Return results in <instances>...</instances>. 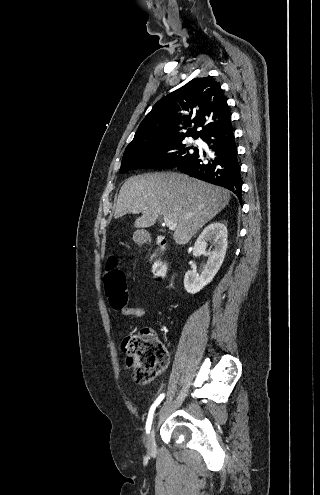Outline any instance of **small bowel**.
<instances>
[{
	"instance_id": "small-bowel-1",
	"label": "small bowel",
	"mask_w": 320,
	"mask_h": 495,
	"mask_svg": "<svg viewBox=\"0 0 320 495\" xmlns=\"http://www.w3.org/2000/svg\"><path fill=\"white\" fill-rule=\"evenodd\" d=\"M123 316H133L137 318H145L147 313L144 308L141 307H126L123 311H121Z\"/></svg>"
}]
</instances>
